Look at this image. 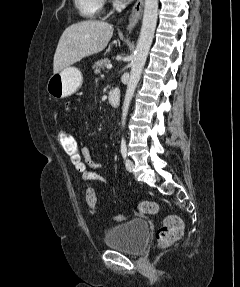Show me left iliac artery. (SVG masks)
<instances>
[{"instance_id": "obj_1", "label": "left iliac artery", "mask_w": 240, "mask_h": 287, "mask_svg": "<svg viewBox=\"0 0 240 287\" xmlns=\"http://www.w3.org/2000/svg\"><path fill=\"white\" fill-rule=\"evenodd\" d=\"M121 154L124 159L127 157V147L125 140L121 141Z\"/></svg>"}]
</instances>
